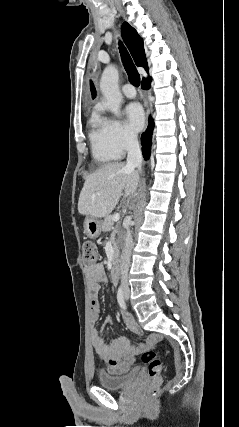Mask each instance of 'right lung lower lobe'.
<instances>
[{
	"instance_id": "98d812e1",
	"label": "right lung lower lobe",
	"mask_w": 239,
	"mask_h": 427,
	"mask_svg": "<svg viewBox=\"0 0 239 427\" xmlns=\"http://www.w3.org/2000/svg\"><path fill=\"white\" fill-rule=\"evenodd\" d=\"M151 78L143 79L142 80V88L148 89L150 87ZM154 128V122L152 118L149 119V126L145 133L142 134L141 137V144H142V153L145 159L149 158L150 155V149H151V140H152V133Z\"/></svg>"
}]
</instances>
